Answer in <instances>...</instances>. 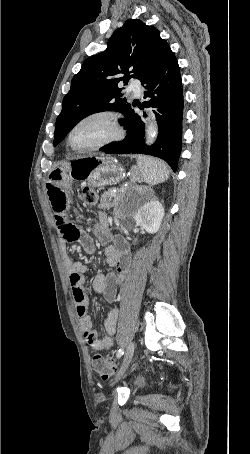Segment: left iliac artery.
I'll list each match as a JSON object with an SVG mask.
<instances>
[{"instance_id": "1", "label": "left iliac artery", "mask_w": 250, "mask_h": 454, "mask_svg": "<svg viewBox=\"0 0 250 454\" xmlns=\"http://www.w3.org/2000/svg\"><path fill=\"white\" fill-rule=\"evenodd\" d=\"M124 354V349L120 348L117 352V358H120Z\"/></svg>"}]
</instances>
